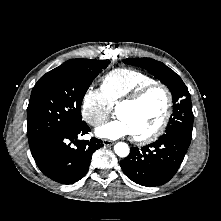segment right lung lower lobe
<instances>
[{"instance_id": "98d812e1", "label": "right lung lower lobe", "mask_w": 221, "mask_h": 221, "mask_svg": "<svg viewBox=\"0 0 221 221\" xmlns=\"http://www.w3.org/2000/svg\"><path fill=\"white\" fill-rule=\"evenodd\" d=\"M90 132L86 122H81L61 132L52 134L30 148L41 172L50 179L71 184L80 180L88 171L92 153L99 149L102 140H78ZM74 144L75 147H73Z\"/></svg>"}]
</instances>
